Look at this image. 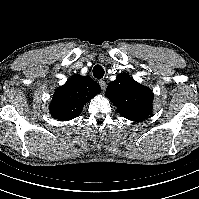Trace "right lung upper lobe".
Listing matches in <instances>:
<instances>
[{
    "instance_id": "right-lung-upper-lobe-1",
    "label": "right lung upper lobe",
    "mask_w": 199,
    "mask_h": 199,
    "mask_svg": "<svg viewBox=\"0 0 199 199\" xmlns=\"http://www.w3.org/2000/svg\"><path fill=\"white\" fill-rule=\"evenodd\" d=\"M101 92V87L89 76L73 75L58 87L49 106L51 115L68 121L80 115L86 102Z\"/></svg>"
}]
</instances>
